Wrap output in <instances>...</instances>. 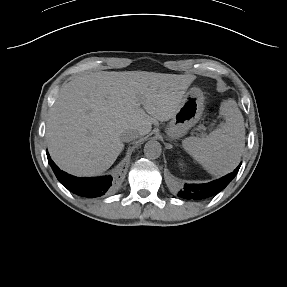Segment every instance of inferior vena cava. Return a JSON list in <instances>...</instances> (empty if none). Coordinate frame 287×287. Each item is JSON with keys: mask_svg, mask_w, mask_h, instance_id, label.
I'll use <instances>...</instances> for the list:
<instances>
[{"mask_svg": "<svg viewBox=\"0 0 287 287\" xmlns=\"http://www.w3.org/2000/svg\"><path fill=\"white\" fill-rule=\"evenodd\" d=\"M139 137V133L136 130L128 129L124 131L121 135V139L123 142H130L132 140H135Z\"/></svg>", "mask_w": 287, "mask_h": 287, "instance_id": "inferior-vena-cava-1", "label": "inferior vena cava"}]
</instances>
